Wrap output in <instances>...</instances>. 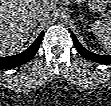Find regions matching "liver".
I'll list each match as a JSON object with an SVG mask.
<instances>
[{
  "label": "liver",
  "mask_w": 111,
  "mask_h": 106,
  "mask_svg": "<svg viewBox=\"0 0 111 106\" xmlns=\"http://www.w3.org/2000/svg\"><path fill=\"white\" fill-rule=\"evenodd\" d=\"M55 4L54 0H1L0 54H13L22 49L36 27V11L49 12Z\"/></svg>",
  "instance_id": "obj_1"
}]
</instances>
